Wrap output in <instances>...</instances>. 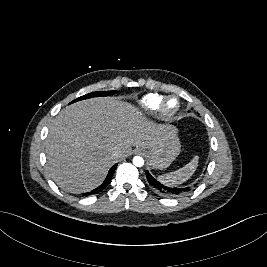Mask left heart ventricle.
<instances>
[{
	"mask_svg": "<svg viewBox=\"0 0 267 267\" xmlns=\"http://www.w3.org/2000/svg\"><path fill=\"white\" fill-rule=\"evenodd\" d=\"M176 105H177L176 101H175V100H171V101H169V102L167 103V109H168L169 111L174 110L175 107H176Z\"/></svg>",
	"mask_w": 267,
	"mask_h": 267,
	"instance_id": "obj_1",
	"label": "left heart ventricle"
}]
</instances>
